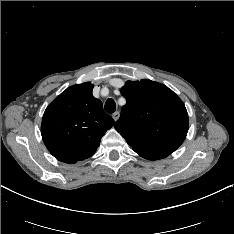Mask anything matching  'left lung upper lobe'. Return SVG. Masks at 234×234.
<instances>
[{"label": "left lung upper lobe", "mask_w": 234, "mask_h": 234, "mask_svg": "<svg viewBox=\"0 0 234 234\" xmlns=\"http://www.w3.org/2000/svg\"><path fill=\"white\" fill-rule=\"evenodd\" d=\"M126 104L115 129L133 150L174 152L188 131V114L182 100L167 86L143 79L121 88Z\"/></svg>", "instance_id": "5c2ea615"}]
</instances>
